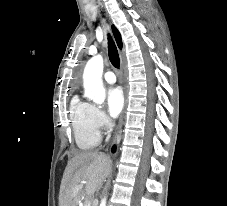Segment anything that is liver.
Segmentation results:
<instances>
[{
	"instance_id": "obj_1",
	"label": "liver",
	"mask_w": 227,
	"mask_h": 206,
	"mask_svg": "<svg viewBox=\"0 0 227 206\" xmlns=\"http://www.w3.org/2000/svg\"><path fill=\"white\" fill-rule=\"evenodd\" d=\"M111 169L104 153L82 152L68 161L60 186L59 206H77L82 196H91ZM82 187V188H79Z\"/></svg>"
}]
</instances>
